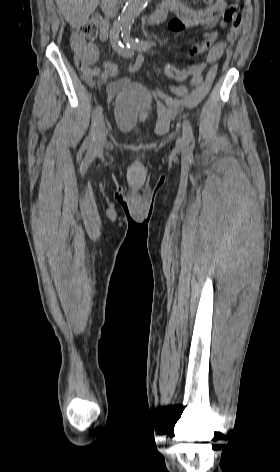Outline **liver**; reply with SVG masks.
<instances>
[{
  "instance_id": "6515ba94",
  "label": "liver",
  "mask_w": 280,
  "mask_h": 472,
  "mask_svg": "<svg viewBox=\"0 0 280 472\" xmlns=\"http://www.w3.org/2000/svg\"><path fill=\"white\" fill-rule=\"evenodd\" d=\"M100 0H56L59 10L72 28H80L95 11Z\"/></svg>"
}]
</instances>
